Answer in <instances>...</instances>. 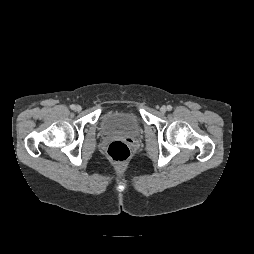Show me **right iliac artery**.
<instances>
[{"label": "right iliac artery", "mask_w": 254, "mask_h": 254, "mask_svg": "<svg viewBox=\"0 0 254 254\" xmlns=\"http://www.w3.org/2000/svg\"><path fill=\"white\" fill-rule=\"evenodd\" d=\"M70 108H71L72 110H75L76 106H75V105H71Z\"/></svg>", "instance_id": "right-iliac-artery-1"}]
</instances>
